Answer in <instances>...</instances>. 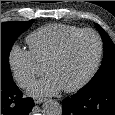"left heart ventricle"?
<instances>
[{
    "label": "left heart ventricle",
    "instance_id": "left-heart-ventricle-1",
    "mask_svg": "<svg viewBox=\"0 0 115 115\" xmlns=\"http://www.w3.org/2000/svg\"><path fill=\"white\" fill-rule=\"evenodd\" d=\"M98 43L91 34H85L72 42L58 61L45 68L63 86L70 87L80 82L92 69L97 57Z\"/></svg>",
    "mask_w": 115,
    "mask_h": 115
}]
</instances>
